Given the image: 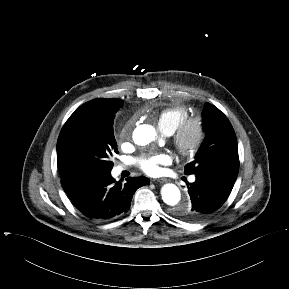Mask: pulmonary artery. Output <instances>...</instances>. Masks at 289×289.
<instances>
[{"label":"pulmonary artery","mask_w":289,"mask_h":289,"mask_svg":"<svg viewBox=\"0 0 289 289\" xmlns=\"http://www.w3.org/2000/svg\"><path fill=\"white\" fill-rule=\"evenodd\" d=\"M123 169H124V166L119 165V166H117V167L114 169V173L117 175V174H119ZM190 181H191V182H194V181H195V177L192 176V177L190 178Z\"/></svg>","instance_id":"1"}]
</instances>
